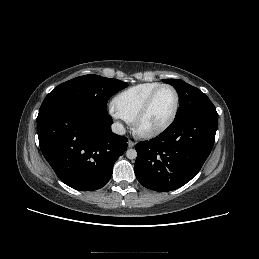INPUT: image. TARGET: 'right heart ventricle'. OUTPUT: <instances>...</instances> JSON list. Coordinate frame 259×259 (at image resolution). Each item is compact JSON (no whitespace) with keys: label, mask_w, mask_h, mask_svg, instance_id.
Listing matches in <instances>:
<instances>
[{"label":"right heart ventricle","mask_w":259,"mask_h":259,"mask_svg":"<svg viewBox=\"0 0 259 259\" xmlns=\"http://www.w3.org/2000/svg\"><path fill=\"white\" fill-rule=\"evenodd\" d=\"M160 84L159 82H146L121 91L113 100L115 110L126 121L133 122L150 93Z\"/></svg>","instance_id":"1"}]
</instances>
